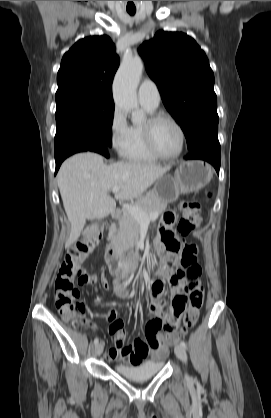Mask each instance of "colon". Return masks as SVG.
I'll list each match as a JSON object with an SVG mask.
<instances>
[{"label": "colon", "instance_id": "obj_1", "mask_svg": "<svg viewBox=\"0 0 271 418\" xmlns=\"http://www.w3.org/2000/svg\"><path fill=\"white\" fill-rule=\"evenodd\" d=\"M181 219L178 223V231L181 235L187 236L194 231L201 221V206L198 202L183 200L180 202ZM173 220L172 214H166L161 227V239L165 247L174 253H181V268L178 271V277L187 276L190 280H196L200 276L201 268L195 256V250L192 245L186 244L183 247L174 237L166 226ZM101 224L94 223L89 228V233L82 240L78 241L68 252L65 261L60 267L55 280V305L66 321L87 324L83 314L85 304L80 299V292L75 286V282H86L87 277L80 269V262L93 249L101 238ZM204 300V291L201 286H197L191 292L189 297L177 296L173 304L177 310H187L183 319V327L179 335L185 334L192 328L198 319L199 310ZM164 329L173 332L176 328L172 322L164 324Z\"/></svg>", "mask_w": 271, "mask_h": 418}]
</instances>
